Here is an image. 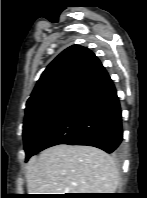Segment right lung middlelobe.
Instances as JSON below:
<instances>
[{
  "label": "right lung middle lobe",
  "instance_id": "right-lung-middle-lobe-1",
  "mask_svg": "<svg viewBox=\"0 0 147 198\" xmlns=\"http://www.w3.org/2000/svg\"><path fill=\"white\" fill-rule=\"evenodd\" d=\"M75 102H55L36 108L25 115L23 139L26 160L35 154L42 139L55 127Z\"/></svg>",
  "mask_w": 147,
  "mask_h": 198
}]
</instances>
